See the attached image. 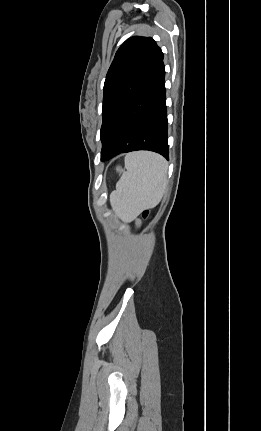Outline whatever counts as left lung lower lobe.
Listing matches in <instances>:
<instances>
[{
    "instance_id": "1",
    "label": "left lung lower lobe",
    "mask_w": 261,
    "mask_h": 431,
    "mask_svg": "<svg viewBox=\"0 0 261 431\" xmlns=\"http://www.w3.org/2000/svg\"><path fill=\"white\" fill-rule=\"evenodd\" d=\"M136 150L154 151L169 159L165 67L163 60L131 101L106 160Z\"/></svg>"
}]
</instances>
